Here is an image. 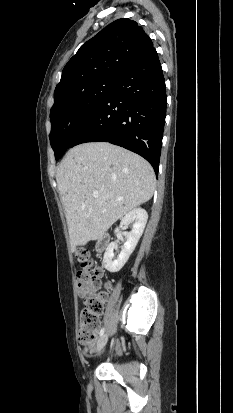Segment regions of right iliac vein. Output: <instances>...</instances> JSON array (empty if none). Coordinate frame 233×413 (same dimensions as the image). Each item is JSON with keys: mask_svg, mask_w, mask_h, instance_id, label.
Instances as JSON below:
<instances>
[{"mask_svg": "<svg viewBox=\"0 0 233 413\" xmlns=\"http://www.w3.org/2000/svg\"><path fill=\"white\" fill-rule=\"evenodd\" d=\"M107 340H108L107 334H104L101 336V338L99 339L97 343V352L101 351L105 347Z\"/></svg>", "mask_w": 233, "mask_h": 413, "instance_id": "1", "label": "right iliac vein"}]
</instances>
